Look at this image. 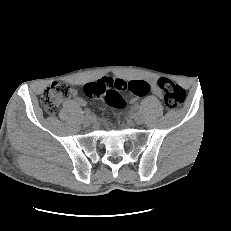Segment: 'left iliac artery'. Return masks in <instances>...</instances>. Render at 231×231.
I'll return each instance as SVG.
<instances>
[{
	"mask_svg": "<svg viewBox=\"0 0 231 231\" xmlns=\"http://www.w3.org/2000/svg\"><path fill=\"white\" fill-rule=\"evenodd\" d=\"M133 110H134L135 112H138V111L140 110V105H139V104H134V105H133Z\"/></svg>",
	"mask_w": 231,
	"mask_h": 231,
	"instance_id": "left-iliac-artery-1",
	"label": "left iliac artery"
}]
</instances>
